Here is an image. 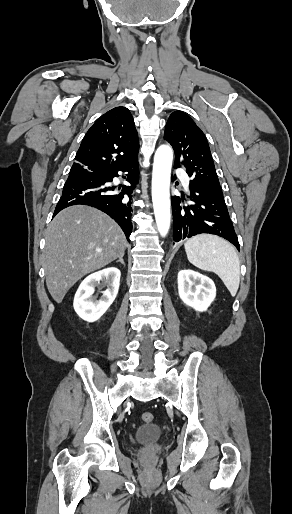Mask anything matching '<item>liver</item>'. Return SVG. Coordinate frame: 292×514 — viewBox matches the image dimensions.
Segmentation results:
<instances>
[{"instance_id": "1", "label": "liver", "mask_w": 292, "mask_h": 514, "mask_svg": "<svg viewBox=\"0 0 292 514\" xmlns=\"http://www.w3.org/2000/svg\"><path fill=\"white\" fill-rule=\"evenodd\" d=\"M126 246L120 226L104 212L89 206H70L59 212L45 232L43 254L53 300L60 304L80 278L124 256Z\"/></svg>"}]
</instances>
